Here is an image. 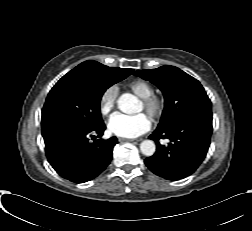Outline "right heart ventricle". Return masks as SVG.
<instances>
[{"label":"right heart ventricle","instance_id":"e07e8e85","mask_svg":"<svg viewBox=\"0 0 252 231\" xmlns=\"http://www.w3.org/2000/svg\"><path fill=\"white\" fill-rule=\"evenodd\" d=\"M128 87L141 99H146L154 95L153 86L149 82L144 80L132 81L131 83H129Z\"/></svg>","mask_w":252,"mask_h":231}]
</instances>
